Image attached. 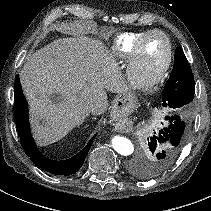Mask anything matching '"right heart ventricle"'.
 Segmentation results:
<instances>
[{
	"label": "right heart ventricle",
	"instance_id": "e07e8e85",
	"mask_svg": "<svg viewBox=\"0 0 211 211\" xmlns=\"http://www.w3.org/2000/svg\"><path fill=\"white\" fill-rule=\"evenodd\" d=\"M147 32H125L118 35L112 45L114 56L121 61L128 62L132 56L136 42Z\"/></svg>",
	"mask_w": 211,
	"mask_h": 211
}]
</instances>
